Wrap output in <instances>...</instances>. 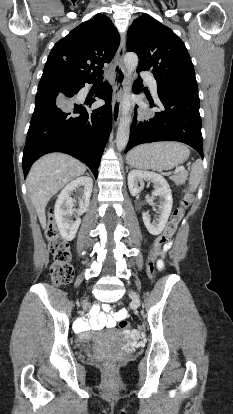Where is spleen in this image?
Returning <instances> with one entry per match:
<instances>
[{
  "instance_id": "obj_1",
  "label": "spleen",
  "mask_w": 233,
  "mask_h": 414,
  "mask_svg": "<svg viewBox=\"0 0 233 414\" xmlns=\"http://www.w3.org/2000/svg\"><path fill=\"white\" fill-rule=\"evenodd\" d=\"M135 149L132 150L129 154L133 153ZM202 172H203L202 161L196 160L191 168V173L189 177V186L191 189H196V187L198 186L201 176H202Z\"/></svg>"
}]
</instances>
